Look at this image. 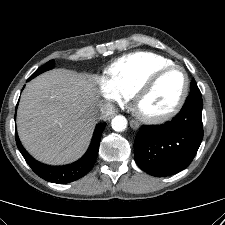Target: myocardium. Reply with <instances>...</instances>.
<instances>
[{
  "mask_svg": "<svg viewBox=\"0 0 225 225\" xmlns=\"http://www.w3.org/2000/svg\"><path fill=\"white\" fill-rule=\"evenodd\" d=\"M172 71H180L183 75V85L180 91V94L174 103V105L169 108L167 111L160 114H146L141 111L140 103L143 98L155 87L157 82L167 73ZM189 92V77L185 69L177 64H172L166 67H163L150 76H148L144 82L137 88L132 96L133 100V109L137 117L147 124H160L172 119L175 115L179 113L182 109Z\"/></svg>",
  "mask_w": 225,
  "mask_h": 225,
  "instance_id": "myocardium-1",
  "label": "myocardium"
}]
</instances>
